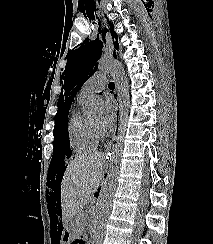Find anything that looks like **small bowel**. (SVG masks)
Returning <instances> with one entry per match:
<instances>
[{"mask_svg": "<svg viewBox=\"0 0 213 244\" xmlns=\"http://www.w3.org/2000/svg\"><path fill=\"white\" fill-rule=\"evenodd\" d=\"M82 242L80 241H75L73 244H81Z\"/></svg>", "mask_w": 213, "mask_h": 244, "instance_id": "c3829d8e", "label": "small bowel"}]
</instances>
